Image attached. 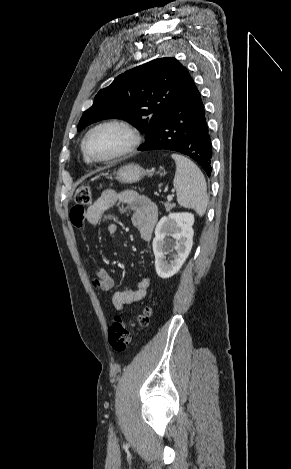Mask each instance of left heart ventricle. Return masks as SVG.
<instances>
[{
	"mask_svg": "<svg viewBox=\"0 0 291 469\" xmlns=\"http://www.w3.org/2000/svg\"><path fill=\"white\" fill-rule=\"evenodd\" d=\"M128 140L123 129L115 126L103 127L90 136L88 151L93 157L105 158L123 149Z\"/></svg>",
	"mask_w": 291,
	"mask_h": 469,
	"instance_id": "1",
	"label": "left heart ventricle"
}]
</instances>
